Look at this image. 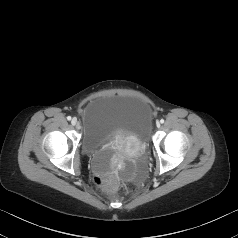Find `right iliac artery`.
<instances>
[{
  "label": "right iliac artery",
  "mask_w": 238,
  "mask_h": 238,
  "mask_svg": "<svg viewBox=\"0 0 238 238\" xmlns=\"http://www.w3.org/2000/svg\"><path fill=\"white\" fill-rule=\"evenodd\" d=\"M67 120H69V121H70V120H71V116H68V117H67Z\"/></svg>",
  "instance_id": "obj_1"
}]
</instances>
